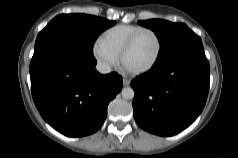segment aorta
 <instances>
[{"mask_svg": "<svg viewBox=\"0 0 238 158\" xmlns=\"http://www.w3.org/2000/svg\"><path fill=\"white\" fill-rule=\"evenodd\" d=\"M121 94L124 99H133L134 90L131 87H125L122 89Z\"/></svg>", "mask_w": 238, "mask_h": 158, "instance_id": "1", "label": "aorta"}]
</instances>
